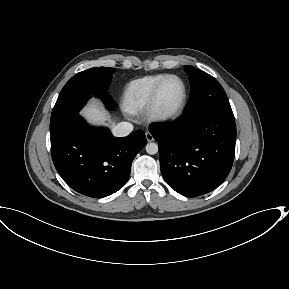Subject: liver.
Here are the masks:
<instances>
[{"mask_svg": "<svg viewBox=\"0 0 289 289\" xmlns=\"http://www.w3.org/2000/svg\"><path fill=\"white\" fill-rule=\"evenodd\" d=\"M82 115L93 124H104L109 121V115L95 101L82 111Z\"/></svg>", "mask_w": 289, "mask_h": 289, "instance_id": "6515ba94", "label": "liver"}]
</instances>
